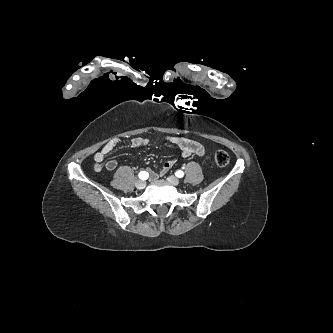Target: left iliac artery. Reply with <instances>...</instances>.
Returning a JSON list of instances; mask_svg holds the SVG:
<instances>
[{
    "label": "left iliac artery",
    "mask_w": 333,
    "mask_h": 333,
    "mask_svg": "<svg viewBox=\"0 0 333 333\" xmlns=\"http://www.w3.org/2000/svg\"><path fill=\"white\" fill-rule=\"evenodd\" d=\"M175 175L179 178H182L184 176V172L181 170L176 171Z\"/></svg>",
    "instance_id": "1"
}]
</instances>
